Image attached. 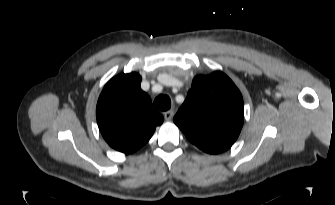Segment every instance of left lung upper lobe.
Listing matches in <instances>:
<instances>
[{
    "mask_svg": "<svg viewBox=\"0 0 335 205\" xmlns=\"http://www.w3.org/2000/svg\"><path fill=\"white\" fill-rule=\"evenodd\" d=\"M243 120L242 95L219 71L193 79L186 100L173 118L191 143L210 154L222 153L233 145Z\"/></svg>",
    "mask_w": 335,
    "mask_h": 205,
    "instance_id": "obj_1",
    "label": "left lung upper lobe"
}]
</instances>
